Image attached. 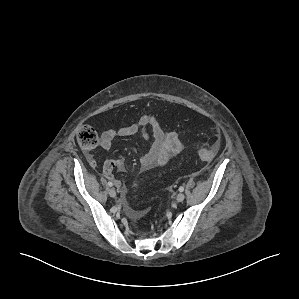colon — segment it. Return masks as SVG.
<instances>
[{
  "instance_id": "colon-1",
  "label": "colon",
  "mask_w": 299,
  "mask_h": 299,
  "mask_svg": "<svg viewBox=\"0 0 299 299\" xmlns=\"http://www.w3.org/2000/svg\"><path fill=\"white\" fill-rule=\"evenodd\" d=\"M77 141L79 145L85 150H91L95 148L99 142L98 135L90 126H82L77 132ZM218 151V147L215 144L201 147L198 149V156L206 161L212 160Z\"/></svg>"
}]
</instances>
